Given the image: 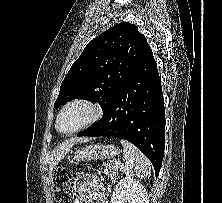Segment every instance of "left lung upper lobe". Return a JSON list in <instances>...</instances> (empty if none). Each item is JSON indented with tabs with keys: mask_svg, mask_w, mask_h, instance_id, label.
I'll return each mask as SVG.
<instances>
[{
	"mask_svg": "<svg viewBox=\"0 0 222 203\" xmlns=\"http://www.w3.org/2000/svg\"><path fill=\"white\" fill-rule=\"evenodd\" d=\"M148 47L145 36L129 22H121L103 32L88 43L73 63L54 107L73 99H85L98 102L104 110Z\"/></svg>",
	"mask_w": 222,
	"mask_h": 203,
	"instance_id": "obj_1",
	"label": "left lung upper lobe"
}]
</instances>
